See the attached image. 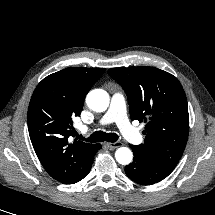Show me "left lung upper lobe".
I'll use <instances>...</instances> for the list:
<instances>
[{
    "label": "left lung upper lobe",
    "mask_w": 215,
    "mask_h": 215,
    "mask_svg": "<svg viewBox=\"0 0 215 215\" xmlns=\"http://www.w3.org/2000/svg\"><path fill=\"white\" fill-rule=\"evenodd\" d=\"M108 74L125 90L132 120L146 122L144 144L148 157L174 169L185 149L189 114L178 79L154 67L111 68Z\"/></svg>",
    "instance_id": "obj_1"
}]
</instances>
